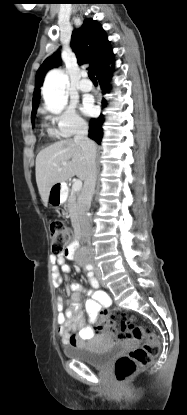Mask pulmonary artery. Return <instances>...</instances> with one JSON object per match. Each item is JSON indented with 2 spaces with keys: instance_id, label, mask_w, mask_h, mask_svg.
<instances>
[{
  "instance_id": "pulmonary-artery-1",
  "label": "pulmonary artery",
  "mask_w": 187,
  "mask_h": 415,
  "mask_svg": "<svg viewBox=\"0 0 187 415\" xmlns=\"http://www.w3.org/2000/svg\"><path fill=\"white\" fill-rule=\"evenodd\" d=\"M78 89L82 92H89L92 90V83L86 78V73H82V79L78 84Z\"/></svg>"
}]
</instances>
